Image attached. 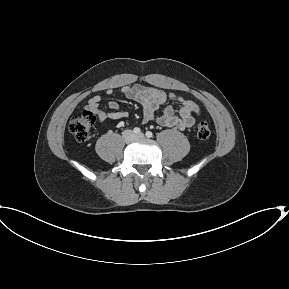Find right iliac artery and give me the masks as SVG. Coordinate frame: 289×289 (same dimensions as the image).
I'll return each instance as SVG.
<instances>
[{
	"mask_svg": "<svg viewBox=\"0 0 289 289\" xmlns=\"http://www.w3.org/2000/svg\"><path fill=\"white\" fill-rule=\"evenodd\" d=\"M133 132H134L135 134H140L141 130H140V128L135 127V128L133 129Z\"/></svg>",
	"mask_w": 289,
	"mask_h": 289,
	"instance_id": "1",
	"label": "right iliac artery"
}]
</instances>
